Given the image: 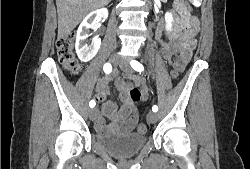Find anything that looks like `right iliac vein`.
Wrapping results in <instances>:
<instances>
[{"mask_svg": "<svg viewBox=\"0 0 250 169\" xmlns=\"http://www.w3.org/2000/svg\"><path fill=\"white\" fill-rule=\"evenodd\" d=\"M109 61L114 64V65H117L119 63V58L116 54H112L110 57H109ZM98 114V110L96 108H92L89 110V118L91 120H94L96 118Z\"/></svg>", "mask_w": 250, "mask_h": 169, "instance_id": "63e3f726", "label": "right iliac vein"}]
</instances>
